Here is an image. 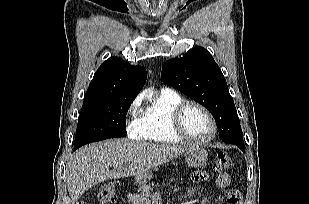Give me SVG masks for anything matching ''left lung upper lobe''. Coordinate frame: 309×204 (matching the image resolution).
I'll return each instance as SVG.
<instances>
[{"instance_id": "obj_1", "label": "left lung upper lobe", "mask_w": 309, "mask_h": 204, "mask_svg": "<svg viewBox=\"0 0 309 204\" xmlns=\"http://www.w3.org/2000/svg\"><path fill=\"white\" fill-rule=\"evenodd\" d=\"M162 81L203 105L213 115L220 138L235 144L243 140L242 129L226 80L212 55L195 47L162 67Z\"/></svg>"}]
</instances>
